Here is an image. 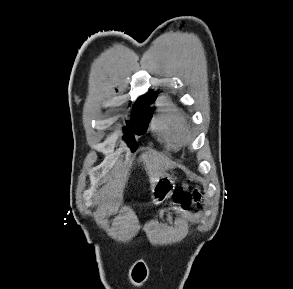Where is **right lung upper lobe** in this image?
<instances>
[{"label":"right lung upper lobe","mask_w":293,"mask_h":289,"mask_svg":"<svg viewBox=\"0 0 293 289\" xmlns=\"http://www.w3.org/2000/svg\"><path fill=\"white\" fill-rule=\"evenodd\" d=\"M147 98H149V95L148 94L145 95V96H142L141 98H139L137 102L144 101Z\"/></svg>","instance_id":"right-lung-upper-lobe-1"}]
</instances>
